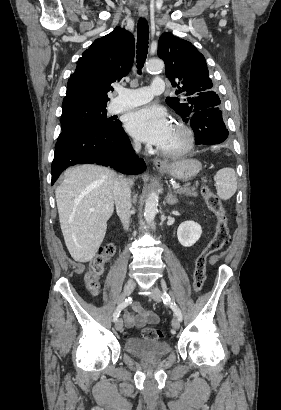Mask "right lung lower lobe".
Instances as JSON below:
<instances>
[{
  "mask_svg": "<svg viewBox=\"0 0 281 410\" xmlns=\"http://www.w3.org/2000/svg\"><path fill=\"white\" fill-rule=\"evenodd\" d=\"M97 163L124 174H138L146 169L143 159L135 155L121 122L106 129H86L59 139L52 162V181L69 166Z\"/></svg>",
  "mask_w": 281,
  "mask_h": 410,
  "instance_id": "right-lung-lower-lobe-1",
  "label": "right lung lower lobe"
}]
</instances>
